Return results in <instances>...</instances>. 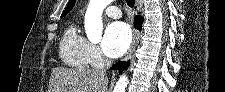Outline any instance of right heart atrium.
Returning <instances> with one entry per match:
<instances>
[{
  "mask_svg": "<svg viewBox=\"0 0 225 92\" xmlns=\"http://www.w3.org/2000/svg\"><path fill=\"white\" fill-rule=\"evenodd\" d=\"M87 64L100 66L103 64V56L98 45L89 42Z\"/></svg>",
  "mask_w": 225,
  "mask_h": 92,
  "instance_id": "1",
  "label": "right heart atrium"
}]
</instances>
